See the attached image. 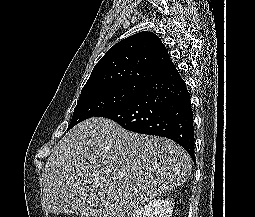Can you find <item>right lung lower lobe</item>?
Wrapping results in <instances>:
<instances>
[{
	"mask_svg": "<svg viewBox=\"0 0 255 217\" xmlns=\"http://www.w3.org/2000/svg\"><path fill=\"white\" fill-rule=\"evenodd\" d=\"M97 116L111 119L133 132L169 138L195 161L190 94L177 70L149 83L129 102Z\"/></svg>",
	"mask_w": 255,
	"mask_h": 217,
	"instance_id": "98d812e1",
	"label": "right lung lower lobe"
}]
</instances>
